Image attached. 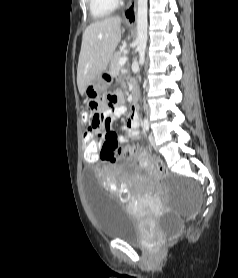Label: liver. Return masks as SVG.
Masks as SVG:
<instances>
[{"instance_id": "obj_1", "label": "liver", "mask_w": 238, "mask_h": 278, "mask_svg": "<svg viewBox=\"0 0 238 278\" xmlns=\"http://www.w3.org/2000/svg\"><path fill=\"white\" fill-rule=\"evenodd\" d=\"M121 18L109 17L91 23L84 31L77 68L81 95L91 81L104 72L121 40Z\"/></svg>"}]
</instances>
